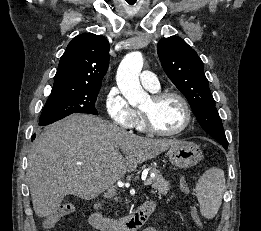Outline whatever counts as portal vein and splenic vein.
<instances>
[{"label": "portal vein and splenic vein", "instance_id": "18ae733b", "mask_svg": "<svg viewBox=\"0 0 261 231\" xmlns=\"http://www.w3.org/2000/svg\"><path fill=\"white\" fill-rule=\"evenodd\" d=\"M143 184H144V186H148V185H150L151 184V180L150 179H145L144 181H143Z\"/></svg>", "mask_w": 261, "mask_h": 231}]
</instances>
